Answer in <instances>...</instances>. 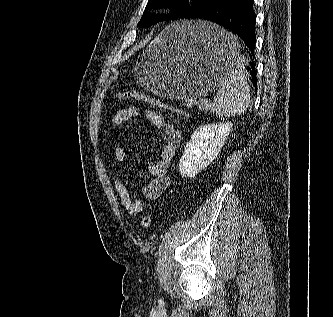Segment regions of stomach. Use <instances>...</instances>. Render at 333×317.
Instances as JSON below:
<instances>
[{"label": "stomach", "mask_w": 333, "mask_h": 317, "mask_svg": "<svg viewBox=\"0 0 333 317\" xmlns=\"http://www.w3.org/2000/svg\"><path fill=\"white\" fill-rule=\"evenodd\" d=\"M241 45L222 24L190 21L168 25L136 58L138 82L151 93L167 99L201 98L215 91L237 62Z\"/></svg>", "instance_id": "obj_1"}]
</instances>
